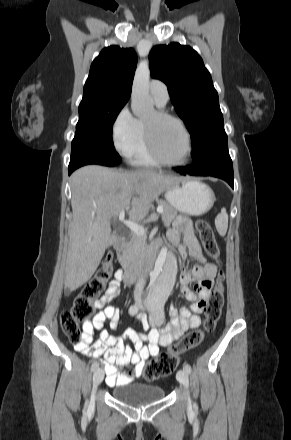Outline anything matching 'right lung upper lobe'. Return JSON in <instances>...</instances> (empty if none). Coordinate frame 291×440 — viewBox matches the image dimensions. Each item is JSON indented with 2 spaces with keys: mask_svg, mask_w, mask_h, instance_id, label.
Wrapping results in <instances>:
<instances>
[{
  "mask_svg": "<svg viewBox=\"0 0 291 440\" xmlns=\"http://www.w3.org/2000/svg\"><path fill=\"white\" fill-rule=\"evenodd\" d=\"M137 64L132 48L112 45L104 48L94 59L84 85L80 104L94 102L127 103Z\"/></svg>",
  "mask_w": 291,
  "mask_h": 440,
  "instance_id": "right-lung-upper-lobe-1",
  "label": "right lung upper lobe"
}]
</instances>
